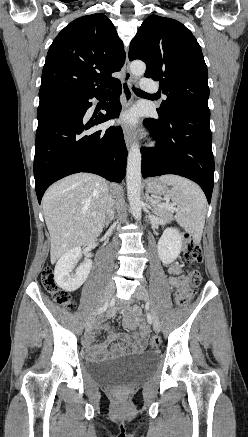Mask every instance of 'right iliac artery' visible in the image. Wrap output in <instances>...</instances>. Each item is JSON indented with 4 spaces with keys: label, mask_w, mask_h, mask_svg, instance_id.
<instances>
[{
    "label": "right iliac artery",
    "mask_w": 248,
    "mask_h": 437,
    "mask_svg": "<svg viewBox=\"0 0 248 437\" xmlns=\"http://www.w3.org/2000/svg\"><path fill=\"white\" fill-rule=\"evenodd\" d=\"M108 307V302H106L98 311L97 314L104 312Z\"/></svg>",
    "instance_id": "right-iliac-artery-1"
}]
</instances>
